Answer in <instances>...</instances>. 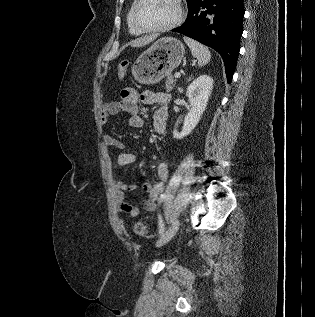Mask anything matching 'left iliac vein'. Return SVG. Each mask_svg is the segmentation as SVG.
<instances>
[{"label": "left iliac vein", "mask_w": 315, "mask_h": 317, "mask_svg": "<svg viewBox=\"0 0 315 317\" xmlns=\"http://www.w3.org/2000/svg\"><path fill=\"white\" fill-rule=\"evenodd\" d=\"M179 228V220L176 219L168 229L162 233L159 240L156 242V247H160L164 244H166L168 241L172 239V237L176 234L177 230Z\"/></svg>", "instance_id": "1"}]
</instances>
